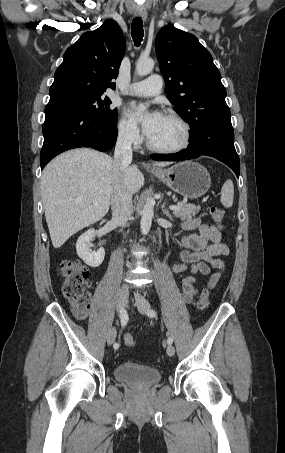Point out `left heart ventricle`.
<instances>
[{
  "mask_svg": "<svg viewBox=\"0 0 285 453\" xmlns=\"http://www.w3.org/2000/svg\"><path fill=\"white\" fill-rule=\"evenodd\" d=\"M149 139L160 147H175L182 143L184 132L177 121L163 115Z\"/></svg>",
  "mask_w": 285,
  "mask_h": 453,
  "instance_id": "1",
  "label": "left heart ventricle"
}]
</instances>
